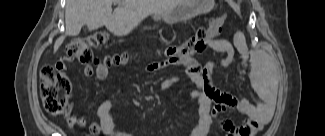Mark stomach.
Masks as SVG:
<instances>
[{
	"label": "stomach",
	"mask_w": 325,
	"mask_h": 136,
	"mask_svg": "<svg viewBox=\"0 0 325 136\" xmlns=\"http://www.w3.org/2000/svg\"><path fill=\"white\" fill-rule=\"evenodd\" d=\"M214 6V0H182L175 8L154 16L155 19H163L173 24L185 21L200 13L209 12Z\"/></svg>",
	"instance_id": "stomach-1"
}]
</instances>
